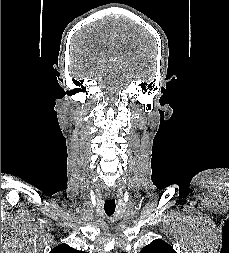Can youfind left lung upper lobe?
Masks as SVG:
<instances>
[{"instance_id":"obj_1","label":"left lung upper lobe","mask_w":229,"mask_h":253,"mask_svg":"<svg viewBox=\"0 0 229 253\" xmlns=\"http://www.w3.org/2000/svg\"><path fill=\"white\" fill-rule=\"evenodd\" d=\"M140 253H176V251L173 249L172 246H170L166 242L157 239L152 241L147 246L143 247Z\"/></svg>"}]
</instances>
